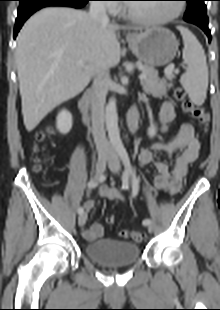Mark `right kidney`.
Wrapping results in <instances>:
<instances>
[{"instance_id":"1","label":"right kidney","mask_w":220,"mask_h":310,"mask_svg":"<svg viewBox=\"0 0 220 310\" xmlns=\"http://www.w3.org/2000/svg\"><path fill=\"white\" fill-rule=\"evenodd\" d=\"M56 120H57V129L59 130L60 133L67 134L71 130L73 119L69 111H67L66 109H62L58 113Z\"/></svg>"}]
</instances>
